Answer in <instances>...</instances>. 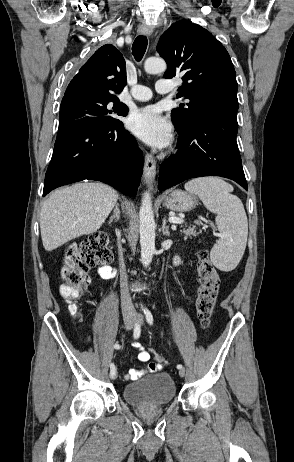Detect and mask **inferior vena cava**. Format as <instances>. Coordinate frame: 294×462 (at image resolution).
<instances>
[{"mask_svg": "<svg viewBox=\"0 0 294 462\" xmlns=\"http://www.w3.org/2000/svg\"><path fill=\"white\" fill-rule=\"evenodd\" d=\"M120 271H121V288H122V297H121V306L122 312L124 315L126 314H133L135 312L128 287H127V276L125 273V267L123 262L120 263Z\"/></svg>", "mask_w": 294, "mask_h": 462, "instance_id": "602c4592", "label": "inferior vena cava"}]
</instances>
